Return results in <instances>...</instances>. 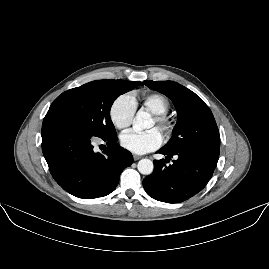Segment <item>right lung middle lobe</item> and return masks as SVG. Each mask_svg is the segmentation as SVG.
Wrapping results in <instances>:
<instances>
[{
	"label": "right lung middle lobe",
	"mask_w": 269,
	"mask_h": 269,
	"mask_svg": "<svg viewBox=\"0 0 269 269\" xmlns=\"http://www.w3.org/2000/svg\"><path fill=\"white\" fill-rule=\"evenodd\" d=\"M139 85H142L139 81H92L63 92L52 103L47 115L67 119L96 137H116L110 118L111 106L118 96Z\"/></svg>",
	"instance_id": "1"
}]
</instances>
